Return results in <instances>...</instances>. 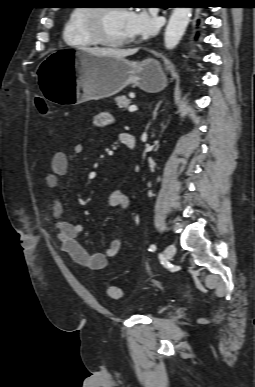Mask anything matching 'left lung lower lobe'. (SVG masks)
Returning a JSON list of instances; mask_svg holds the SVG:
<instances>
[{
	"mask_svg": "<svg viewBox=\"0 0 255 387\" xmlns=\"http://www.w3.org/2000/svg\"><path fill=\"white\" fill-rule=\"evenodd\" d=\"M187 2L194 4L193 7H203V6H200V4L202 3V0H188Z\"/></svg>",
	"mask_w": 255,
	"mask_h": 387,
	"instance_id": "left-lung-lower-lobe-1",
	"label": "left lung lower lobe"
}]
</instances>
